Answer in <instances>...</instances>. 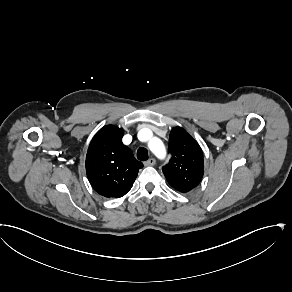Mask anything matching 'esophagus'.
Returning a JSON list of instances; mask_svg holds the SVG:
<instances>
[{
  "label": "esophagus",
  "instance_id": "obj_1",
  "mask_svg": "<svg viewBox=\"0 0 292 292\" xmlns=\"http://www.w3.org/2000/svg\"><path fill=\"white\" fill-rule=\"evenodd\" d=\"M155 163H156V160L154 158H151L148 161H145L144 165L145 166H153V165H155Z\"/></svg>",
  "mask_w": 292,
  "mask_h": 292
}]
</instances>
